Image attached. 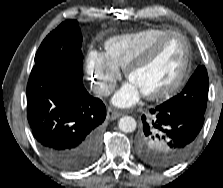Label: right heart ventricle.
<instances>
[{
    "instance_id": "right-heart-ventricle-1",
    "label": "right heart ventricle",
    "mask_w": 223,
    "mask_h": 188,
    "mask_svg": "<svg viewBox=\"0 0 223 188\" xmlns=\"http://www.w3.org/2000/svg\"><path fill=\"white\" fill-rule=\"evenodd\" d=\"M167 31L151 27L111 37L104 43V53L115 66L125 69L143 48Z\"/></svg>"
}]
</instances>
